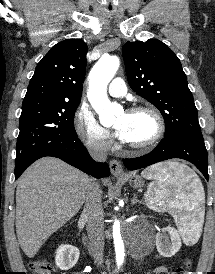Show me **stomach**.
<instances>
[{"instance_id":"stomach-1","label":"stomach","mask_w":215,"mask_h":274,"mask_svg":"<svg viewBox=\"0 0 215 274\" xmlns=\"http://www.w3.org/2000/svg\"><path fill=\"white\" fill-rule=\"evenodd\" d=\"M128 182L133 188H140L144 185L143 179L138 175H130L128 177Z\"/></svg>"}]
</instances>
